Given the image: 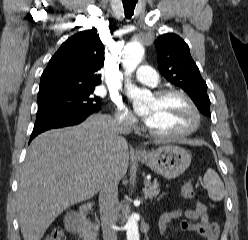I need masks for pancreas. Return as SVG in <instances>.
Wrapping results in <instances>:
<instances>
[{
    "mask_svg": "<svg viewBox=\"0 0 248 240\" xmlns=\"http://www.w3.org/2000/svg\"><path fill=\"white\" fill-rule=\"evenodd\" d=\"M143 191L145 196L149 199H153L154 197H157V195L160 192L158 182L154 181L153 183H151L150 181H146L145 188Z\"/></svg>",
    "mask_w": 248,
    "mask_h": 240,
    "instance_id": "cf45deb5",
    "label": "pancreas"
}]
</instances>
